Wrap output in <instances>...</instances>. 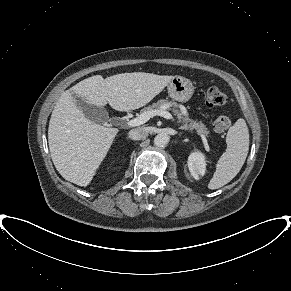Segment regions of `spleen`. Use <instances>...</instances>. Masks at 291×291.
Wrapping results in <instances>:
<instances>
[{
    "label": "spleen",
    "mask_w": 291,
    "mask_h": 291,
    "mask_svg": "<svg viewBox=\"0 0 291 291\" xmlns=\"http://www.w3.org/2000/svg\"><path fill=\"white\" fill-rule=\"evenodd\" d=\"M227 149L216 165V171L208 184L218 189L229 183L241 170L249 150V132L244 119H238L228 130Z\"/></svg>",
    "instance_id": "spleen-1"
}]
</instances>
